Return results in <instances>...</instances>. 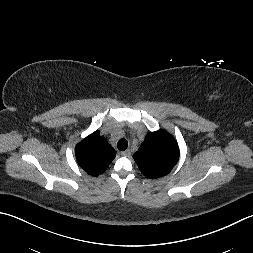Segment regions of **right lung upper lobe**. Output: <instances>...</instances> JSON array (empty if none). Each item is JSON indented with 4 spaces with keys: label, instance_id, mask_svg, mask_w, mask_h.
<instances>
[{
    "label": "right lung upper lobe",
    "instance_id": "obj_1",
    "mask_svg": "<svg viewBox=\"0 0 253 253\" xmlns=\"http://www.w3.org/2000/svg\"><path fill=\"white\" fill-rule=\"evenodd\" d=\"M75 155L83 170L89 175L98 176L107 169L116 152L106 139L95 131L76 146Z\"/></svg>",
    "mask_w": 253,
    "mask_h": 253
}]
</instances>
